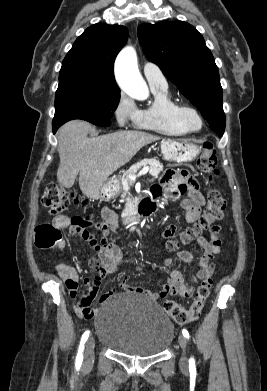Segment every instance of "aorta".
I'll return each mask as SVG.
<instances>
[{
    "label": "aorta",
    "mask_w": 267,
    "mask_h": 391,
    "mask_svg": "<svg viewBox=\"0 0 267 391\" xmlns=\"http://www.w3.org/2000/svg\"><path fill=\"white\" fill-rule=\"evenodd\" d=\"M115 76L118 85L128 96L137 100L148 99V86L139 72L137 54L133 47L127 46L118 54Z\"/></svg>",
    "instance_id": "obj_1"
}]
</instances>
